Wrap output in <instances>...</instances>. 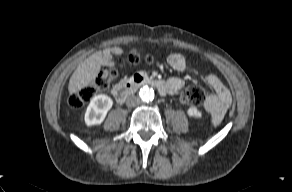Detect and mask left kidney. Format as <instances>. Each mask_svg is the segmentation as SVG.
<instances>
[{"mask_svg": "<svg viewBox=\"0 0 292 192\" xmlns=\"http://www.w3.org/2000/svg\"><path fill=\"white\" fill-rule=\"evenodd\" d=\"M187 114L194 118H201L202 113L196 107H190L187 110Z\"/></svg>", "mask_w": 292, "mask_h": 192, "instance_id": "obj_1", "label": "left kidney"}]
</instances>
